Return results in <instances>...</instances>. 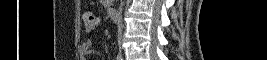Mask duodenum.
Here are the masks:
<instances>
[{
    "label": "duodenum",
    "mask_w": 267,
    "mask_h": 60,
    "mask_svg": "<svg viewBox=\"0 0 267 60\" xmlns=\"http://www.w3.org/2000/svg\"><path fill=\"white\" fill-rule=\"evenodd\" d=\"M109 16L112 20H117L118 19V8L117 7L110 8Z\"/></svg>",
    "instance_id": "410a0bca"
}]
</instances>
